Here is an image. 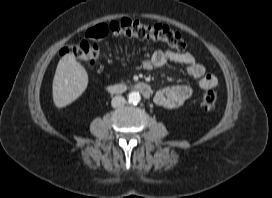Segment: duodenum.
<instances>
[{
  "instance_id": "duodenum-1",
  "label": "duodenum",
  "mask_w": 272,
  "mask_h": 198,
  "mask_svg": "<svg viewBox=\"0 0 272 198\" xmlns=\"http://www.w3.org/2000/svg\"><path fill=\"white\" fill-rule=\"evenodd\" d=\"M131 89L138 91L143 97L147 99L152 96L151 87L145 82L115 83L107 86L108 93L114 95L126 93Z\"/></svg>"
}]
</instances>
